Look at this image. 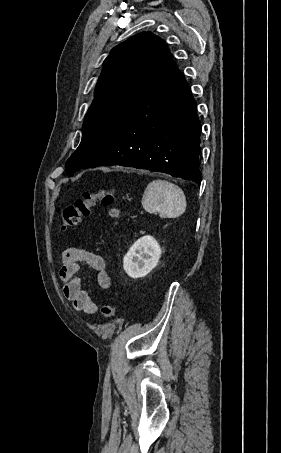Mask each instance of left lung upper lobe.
Masks as SVG:
<instances>
[{
    "label": "left lung upper lobe",
    "instance_id": "1",
    "mask_svg": "<svg viewBox=\"0 0 281 453\" xmlns=\"http://www.w3.org/2000/svg\"><path fill=\"white\" fill-rule=\"evenodd\" d=\"M170 56L165 42L140 33L114 47L105 59L95 99L84 120L82 140L66 162L73 175L91 162L131 115Z\"/></svg>",
    "mask_w": 281,
    "mask_h": 453
}]
</instances>
